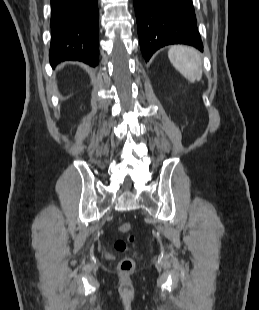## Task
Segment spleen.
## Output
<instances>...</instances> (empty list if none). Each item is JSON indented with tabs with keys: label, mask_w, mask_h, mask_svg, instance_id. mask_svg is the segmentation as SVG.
<instances>
[{
	"label": "spleen",
	"mask_w": 259,
	"mask_h": 310,
	"mask_svg": "<svg viewBox=\"0 0 259 310\" xmlns=\"http://www.w3.org/2000/svg\"><path fill=\"white\" fill-rule=\"evenodd\" d=\"M172 65L191 82L199 81L202 77V62L200 53L188 46H172L168 51Z\"/></svg>",
	"instance_id": "spleen-1"
}]
</instances>
